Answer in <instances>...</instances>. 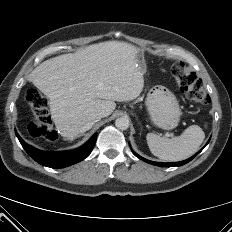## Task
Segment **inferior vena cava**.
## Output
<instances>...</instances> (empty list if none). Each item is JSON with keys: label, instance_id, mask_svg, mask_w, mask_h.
Masks as SVG:
<instances>
[{"label": "inferior vena cava", "instance_id": "obj_1", "mask_svg": "<svg viewBox=\"0 0 232 232\" xmlns=\"http://www.w3.org/2000/svg\"><path fill=\"white\" fill-rule=\"evenodd\" d=\"M102 118V115L101 114H91L89 117H88V122L86 123V125L81 129V132H85L87 130H89L92 125L99 121L100 119Z\"/></svg>", "mask_w": 232, "mask_h": 232}]
</instances>
